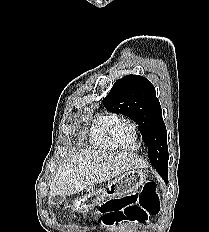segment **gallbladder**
Masks as SVG:
<instances>
[{
  "label": "gallbladder",
  "instance_id": "bac80fb5",
  "mask_svg": "<svg viewBox=\"0 0 209 232\" xmlns=\"http://www.w3.org/2000/svg\"><path fill=\"white\" fill-rule=\"evenodd\" d=\"M64 199H65V197L62 195L54 196L51 198V205L57 206L59 204H62Z\"/></svg>",
  "mask_w": 209,
  "mask_h": 232
}]
</instances>
